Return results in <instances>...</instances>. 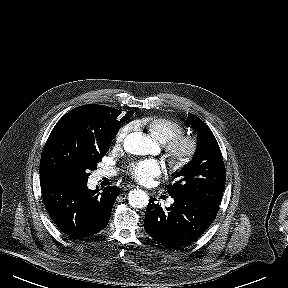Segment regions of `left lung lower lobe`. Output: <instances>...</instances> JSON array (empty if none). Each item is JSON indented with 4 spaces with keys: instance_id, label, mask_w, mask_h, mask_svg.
I'll return each mask as SVG.
<instances>
[{
    "instance_id": "0a47b994",
    "label": "left lung lower lobe",
    "mask_w": 288,
    "mask_h": 288,
    "mask_svg": "<svg viewBox=\"0 0 288 288\" xmlns=\"http://www.w3.org/2000/svg\"><path fill=\"white\" fill-rule=\"evenodd\" d=\"M150 199L145 212V231L162 246L180 249L197 240L214 221L218 208L189 198H174L163 209Z\"/></svg>"
}]
</instances>
